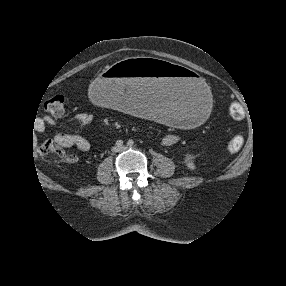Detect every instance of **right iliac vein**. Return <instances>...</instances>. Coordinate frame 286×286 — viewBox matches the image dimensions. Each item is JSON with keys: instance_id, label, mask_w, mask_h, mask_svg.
<instances>
[{"instance_id": "obj_1", "label": "right iliac vein", "mask_w": 286, "mask_h": 286, "mask_svg": "<svg viewBox=\"0 0 286 286\" xmlns=\"http://www.w3.org/2000/svg\"><path fill=\"white\" fill-rule=\"evenodd\" d=\"M114 151H117V148H114Z\"/></svg>"}]
</instances>
